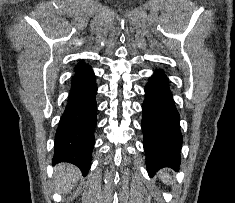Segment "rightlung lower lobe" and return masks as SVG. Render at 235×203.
<instances>
[{
    "instance_id": "obj_1",
    "label": "right lung lower lobe",
    "mask_w": 235,
    "mask_h": 203,
    "mask_svg": "<svg viewBox=\"0 0 235 203\" xmlns=\"http://www.w3.org/2000/svg\"><path fill=\"white\" fill-rule=\"evenodd\" d=\"M96 92L95 75L91 67L79 64L55 135L53 165L72 163L80 168L83 176L90 169L94 147Z\"/></svg>"
}]
</instances>
